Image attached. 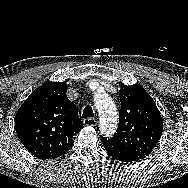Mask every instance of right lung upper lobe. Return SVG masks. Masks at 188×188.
Wrapping results in <instances>:
<instances>
[{"label": "right lung upper lobe", "instance_id": "right-lung-upper-lobe-1", "mask_svg": "<svg viewBox=\"0 0 188 188\" xmlns=\"http://www.w3.org/2000/svg\"><path fill=\"white\" fill-rule=\"evenodd\" d=\"M66 82H49L24 101L15 116V129L24 147L39 159L56 158L73 145L83 127Z\"/></svg>", "mask_w": 188, "mask_h": 188}]
</instances>
